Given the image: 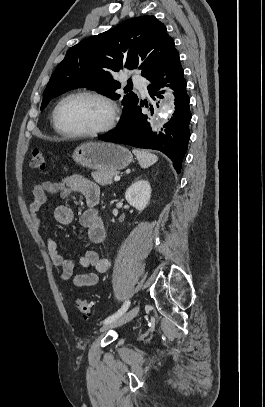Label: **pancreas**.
<instances>
[{
	"instance_id": "pancreas-1",
	"label": "pancreas",
	"mask_w": 265,
	"mask_h": 407,
	"mask_svg": "<svg viewBox=\"0 0 265 407\" xmlns=\"http://www.w3.org/2000/svg\"><path fill=\"white\" fill-rule=\"evenodd\" d=\"M117 174V171H97L92 173V177L101 186H106L112 183L113 177Z\"/></svg>"
}]
</instances>
